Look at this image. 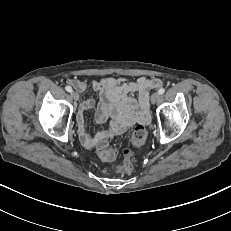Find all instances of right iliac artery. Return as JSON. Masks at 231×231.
Instances as JSON below:
<instances>
[{
    "label": "right iliac artery",
    "mask_w": 231,
    "mask_h": 231,
    "mask_svg": "<svg viewBox=\"0 0 231 231\" xmlns=\"http://www.w3.org/2000/svg\"><path fill=\"white\" fill-rule=\"evenodd\" d=\"M65 89L67 92H72V88L70 86H66Z\"/></svg>",
    "instance_id": "obj_1"
}]
</instances>
